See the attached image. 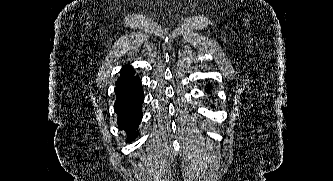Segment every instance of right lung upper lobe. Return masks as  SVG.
Masks as SVG:
<instances>
[{
	"mask_svg": "<svg viewBox=\"0 0 333 181\" xmlns=\"http://www.w3.org/2000/svg\"><path fill=\"white\" fill-rule=\"evenodd\" d=\"M132 77H134V72L132 70V67L129 66V65H127V66H125V67L122 68V70H121V76H120V78H118L116 84H119V83H121L123 81H126V80H128V79H130Z\"/></svg>",
	"mask_w": 333,
	"mask_h": 181,
	"instance_id": "obj_1",
	"label": "right lung upper lobe"
}]
</instances>
